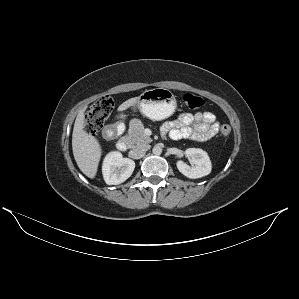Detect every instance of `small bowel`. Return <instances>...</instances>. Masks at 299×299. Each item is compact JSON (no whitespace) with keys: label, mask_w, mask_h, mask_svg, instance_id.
I'll return each instance as SVG.
<instances>
[{"label":"small bowel","mask_w":299,"mask_h":299,"mask_svg":"<svg viewBox=\"0 0 299 299\" xmlns=\"http://www.w3.org/2000/svg\"><path fill=\"white\" fill-rule=\"evenodd\" d=\"M220 123L211 112L181 113L174 121L163 126L173 139L189 138L195 141H207L219 131Z\"/></svg>","instance_id":"small-bowel-1"}]
</instances>
